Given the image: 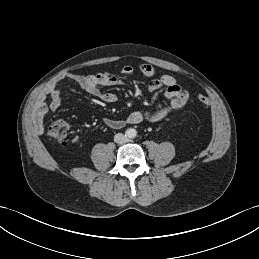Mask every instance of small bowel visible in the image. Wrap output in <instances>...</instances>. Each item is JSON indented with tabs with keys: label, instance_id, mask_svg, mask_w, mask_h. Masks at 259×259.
I'll return each instance as SVG.
<instances>
[{
	"label": "small bowel",
	"instance_id": "small-bowel-1",
	"mask_svg": "<svg viewBox=\"0 0 259 259\" xmlns=\"http://www.w3.org/2000/svg\"><path fill=\"white\" fill-rule=\"evenodd\" d=\"M137 71L141 76L152 78L148 83L149 91H157L164 89L165 96L169 100L167 104L154 111H133L126 119L105 118L104 124L113 129H119L126 124H138L143 121L156 123L163 120L173 112L182 108L188 101V91L178 85L175 78L164 74L156 76V70L152 66L142 65L137 68L132 66H124L121 70L123 75H131ZM76 82L87 93L99 97L106 103H114L117 101V95L112 92H103L102 87L123 85L126 83L124 79L109 73H96L90 75L66 74L64 76ZM48 101L44 96L40 97L32 116L33 129L37 134L44 133V118L49 110H57L62 101V91L58 87H52L47 91Z\"/></svg>",
	"mask_w": 259,
	"mask_h": 259
}]
</instances>
